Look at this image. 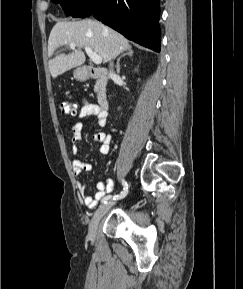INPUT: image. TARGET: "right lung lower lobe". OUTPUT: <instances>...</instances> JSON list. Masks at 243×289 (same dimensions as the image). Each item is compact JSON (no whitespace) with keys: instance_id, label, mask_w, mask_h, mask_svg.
<instances>
[{"instance_id":"98d812e1","label":"right lung lower lobe","mask_w":243,"mask_h":289,"mask_svg":"<svg viewBox=\"0 0 243 289\" xmlns=\"http://www.w3.org/2000/svg\"><path fill=\"white\" fill-rule=\"evenodd\" d=\"M159 11L158 0H90L71 16L94 15L126 38L159 52Z\"/></svg>"}]
</instances>
